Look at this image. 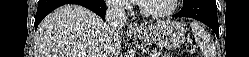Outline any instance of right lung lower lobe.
I'll return each instance as SVG.
<instances>
[{
	"label": "right lung lower lobe",
	"mask_w": 249,
	"mask_h": 57,
	"mask_svg": "<svg viewBox=\"0 0 249 57\" xmlns=\"http://www.w3.org/2000/svg\"><path fill=\"white\" fill-rule=\"evenodd\" d=\"M68 3L82 5L105 19L106 5L103 0H39L34 24L35 29L47 14L57 7Z\"/></svg>",
	"instance_id": "98d812e1"
}]
</instances>
